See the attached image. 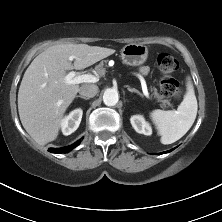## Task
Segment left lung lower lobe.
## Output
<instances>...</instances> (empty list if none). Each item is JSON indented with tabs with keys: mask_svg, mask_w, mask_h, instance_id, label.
I'll return each mask as SVG.
<instances>
[{
	"mask_svg": "<svg viewBox=\"0 0 222 222\" xmlns=\"http://www.w3.org/2000/svg\"><path fill=\"white\" fill-rule=\"evenodd\" d=\"M173 150V149H172ZM172 150H169V151H166V152H163V153H167V152H170V151H172ZM163 153H160V154H163Z\"/></svg>",
	"mask_w": 222,
	"mask_h": 222,
	"instance_id": "obj_1",
	"label": "left lung lower lobe"
}]
</instances>
